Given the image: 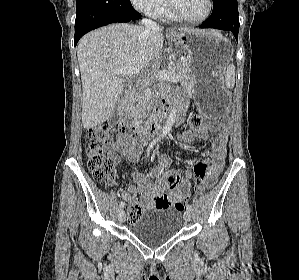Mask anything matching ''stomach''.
Instances as JSON below:
<instances>
[{
    "label": "stomach",
    "mask_w": 299,
    "mask_h": 280,
    "mask_svg": "<svg viewBox=\"0 0 299 280\" xmlns=\"http://www.w3.org/2000/svg\"><path fill=\"white\" fill-rule=\"evenodd\" d=\"M169 39L189 54L191 89L199 112L219 117L228 100L222 74L232 57L231 43L214 30L178 31Z\"/></svg>",
    "instance_id": "obj_1"
}]
</instances>
